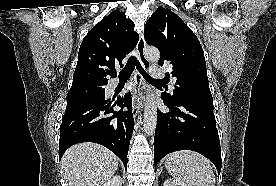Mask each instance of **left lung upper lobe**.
<instances>
[{
    "label": "left lung upper lobe",
    "instance_id": "1",
    "mask_svg": "<svg viewBox=\"0 0 276 186\" xmlns=\"http://www.w3.org/2000/svg\"><path fill=\"white\" fill-rule=\"evenodd\" d=\"M145 40L160 50L159 65H169L176 78L174 104L212 101L202 46L192 30L169 9L158 8L146 23ZM169 75V73H168Z\"/></svg>",
    "mask_w": 276,
    "mask_h": 186
}]
</instances>
